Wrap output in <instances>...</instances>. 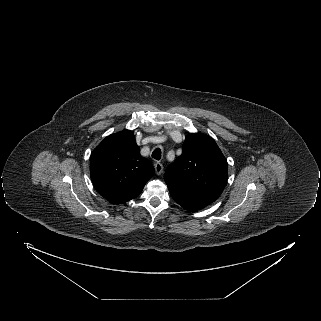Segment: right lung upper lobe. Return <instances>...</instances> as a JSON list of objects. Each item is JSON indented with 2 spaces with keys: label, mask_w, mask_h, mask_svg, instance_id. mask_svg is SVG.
<instances>
[{
  "label": "right lung upper lobe",
  "mask_w": 321,
  "mask_h": 321,
  "mask_svg": "<svg viewBox=\"0 0 321 321\" xmlns=\"http://www.w3.org/2000/svg\"><path fill=\"white\" fill-rule=\"evenodd\" d=\"M92 183L108 201L121 204L136 198L153 176L151 162L140 155L133 131L106 137L90 157Z\"/></svg>",
  "instance_id": "cb5924a9"
}]
</instances>
